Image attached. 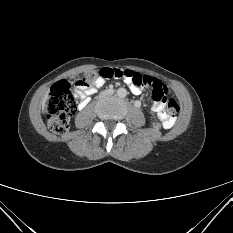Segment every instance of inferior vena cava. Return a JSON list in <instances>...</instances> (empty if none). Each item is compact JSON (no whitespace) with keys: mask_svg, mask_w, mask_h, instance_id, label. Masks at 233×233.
Segmentation results:
<instances>
[{"mask_svg":"<svg viewBox=\"0 0 233 233\" xmlns=\"http://www.w3.org/2000/svg\"><path fill=\"white\" fill-rule=\"evenodd\" d=\"M113 93L114 92H113L112 88H107L106 90H104V89L101 90L99 94H100L101 97L104 98V97H110V96H112Z\"/></svg>","mask_w":233,"mask_h":233,"instance_id":"inferior-vena-cava-1","label":"inferior vena cava"}]
</instances>
